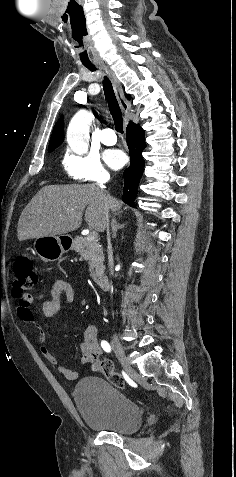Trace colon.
Here are the masks:
<instances>
[{"mask_svg": "<svg viewBox=\"0 0 236 477\" xmlns=\"http://www.w3.org/2000/svg\"><path fill=\"white\" fill-rule=\"evenodd\" d=\"M13 294L19 300V306L29 308L31 306L30 291L38 281L37 273L34 270V262L28 256L19 257L13 266ZM99 371L115 387L124 388L125 380L114 371L113 363L106 359L97 362Z\"/></svg>", "mask_w": 236, "mask_h": 477, "instance_id": "5ec220e1", "label": "colon"}]
</instances>
